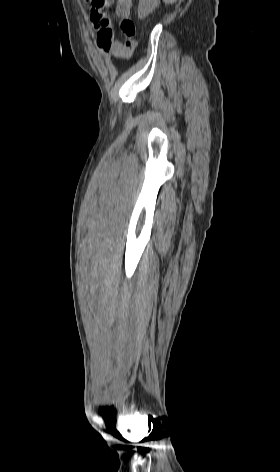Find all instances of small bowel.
Segmentation results:
<instances>
[{"label": "small bowel", "mask_w": 280, "mask_h": 472, "mask_svg": "<svg viewBox=\"0 0 280 472\" xmlns=\"http://www.w3.org/2000/svg\"><path fill=\"white\" fill-rule=\"evenodd\" d=\"M132 8V0H117L116 15L123 19L129 18ZM96 29V42L98 47L105 53H110L116 58H127L131 52V47L124 43L115 40L113 30L110 23L107 25H99L94 23Z\"/></svg>", "instance_id": "small-bowel-1"}]
</instances>
